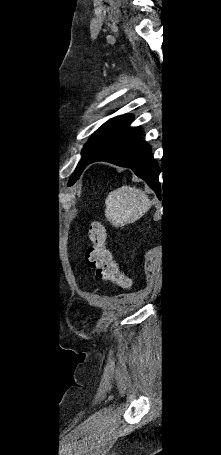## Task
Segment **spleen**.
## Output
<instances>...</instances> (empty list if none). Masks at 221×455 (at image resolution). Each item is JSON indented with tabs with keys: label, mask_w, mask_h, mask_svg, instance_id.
<instances>
[{
	"label": "spleen",
	"mask_w": 221,
	"mask_h": 455,
	"mask_svg": "<svg viewBox=\"0 0 221 455\" xmlns=\"http://www.w3.org/2000/svg\"><path fill=\"white\" fill-rule=\"evenodd\" d=\"M105 204V216L116 227L135 222L151 206L148 196L142 190L130 186L111 191Z\"/></svg>",
	"instance_id": "obj_1"
}]
</instances>
